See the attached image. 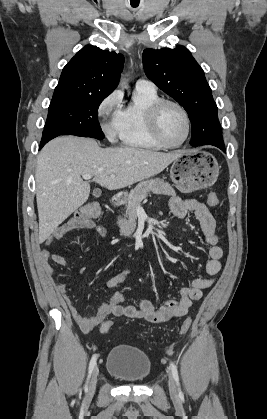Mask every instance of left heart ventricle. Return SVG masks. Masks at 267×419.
Instances as JSON below:
<instances>
[{
  "label": "left heart ventricle",
  "instance_id": "b2bd125f",
  "mask_svg": "<svg viewBox=\"0 0 267 419\" xmlns=\"http://www.w3.org/2000/svg\"><path fill=\"white\" fill-rule=\"evenodd\" d=\"M159 127L163 138L169 143L180 142L186 132L185 120L182 113L172 105H166L159 116Z\"/></svg>",
  "mask_w": 267,
  "mask_h": 419
}]
</instances>
